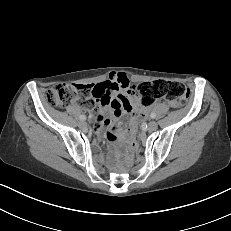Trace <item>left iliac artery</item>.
Masks as SVG:
<instances>
[{"label":"left iliac artery","instance_id":"obj_1","mask_svg":"<svg viewBox=\"0 0 231 231\" xmlns=\"http://www.w3.org/2000/svg\"><path fill=\"white\" fill-rule=\"evenodd\" d=\"M150 117L154 119L156 117L155 113H151Z\"/></svg>","mask_w":231,"mask_h":231}]
</instances>
